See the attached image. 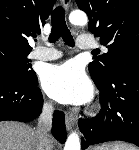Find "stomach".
<instances>
[{"instance_id":"stomach-1","label":"stomach","mask_w":139,"mask_h":150,"mask_svg":"<svg viewBox=\"0 0 139 150\" xmlns=\"http://www.w3.org/2000/svg\"><path fill=\"white\" fill-rule=\"evenodd\" d=\"M92 150H111V149L107 145H102V146L94 147Z\"/></svg>"}]
</instances>
